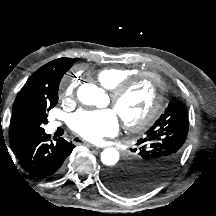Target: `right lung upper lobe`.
Returning a JSON list of instances; mask_svg holds the SVG:
<instances>
[{
    "label": "right lung upper lobe",
    "instance_id": "1",
    "mask_svg": "<svg viewBox=\"0 0 216 216\" xmlns=\"http://www.w3.org/2000/svg\"><path fill=\"white\" fill-rule=\"evenodd\" d=\"M76 60L63 57L45 64L30 76L19 91L9 127L12 149L32 133L31 123L41 116L42 111L56 105L59 82Z\"/></svg>",
    "mask_w": 216,
    "mask_h": 216
}]
</instances>
